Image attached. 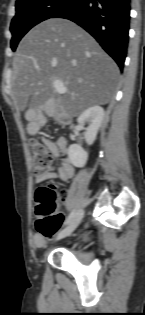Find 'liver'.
Wrapping results in <instances>:
<instances>
[{
    "label": "liver",
    "mask_w": 145,
    "mask_h": 315,
    "mask_svg": "<svg viewBox=\"0 0 145 315\" xmlns=\"http://www.w3.org/2000/svg\"><path fill=\"white\" fill-rule=\"evenodd\" d=\"M119 68L96 40L66 19L51 18L32 28L21 40L13 60L11 96L15 106L33 120L38 107L71 120L113 97ZM67 92L55 98L53 81Z\"/></svg>",
    "instance_id": "1"
}]
</instances>
